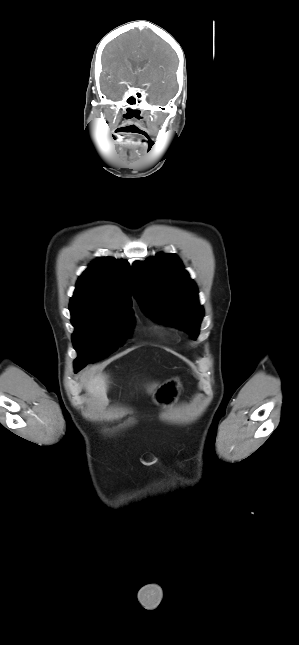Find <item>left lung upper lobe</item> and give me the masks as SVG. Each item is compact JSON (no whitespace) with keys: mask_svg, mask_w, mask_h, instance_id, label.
<instances>
[{"mask_svg":"<svg viewBox=\"0 0 299 645\" xmlns=\"http://www.w3.org/2000/svg\"><path fill=\"white\" fill-rule=\"evenodd\" d=\"M131 288L152 319L173 325L195 339L204 315L197 286L175 254L158 253L132 266Z\"/></svg>","mask_w":299,"mask_h":645,"instance_id":"1","label":"left lung upper lobe"}]
</instances>
